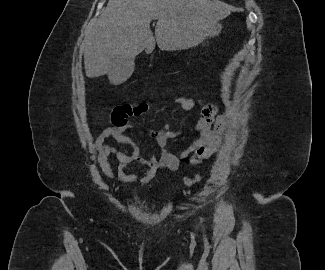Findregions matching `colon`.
<instances>
[{
	"instance_id": "obj_1",
	"label": "colon",
	"mask_w": 325,
	"mask_h": 270,
	"mask_svg": "<svg viewBox=\"0 0 325 270\" xmlns=\"http://www.w3.org/2000/svg\"><path fill=\"white\" fill-rule=\"evenodd\" d=\"M201 179V176L200 175H197L196 177H194V178H187V179H185L184 180V183H185V185H192V184H194L195 182H198L199 180Z\"/></svg>"
}]
</instances>
